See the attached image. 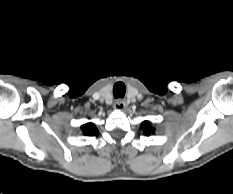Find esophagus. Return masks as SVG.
Returning a JSON list of instances; mask_svg holds the SVG:
<instances>
[{
    "mask_svg": "<svg viewBox=\"0 0 233 194\" xmlns=\"http://www.w3.org/2000/svg\"><path fill=\"white\" fill-rule=\"evenodd\" d=\"M126 107L125 101L123 99H117L115 104H114V108L116 110L122 111L124 110Z\"/></svg>",
    "mask_w": 233,
    "mask_h": 194,
    "instance_id": "34e87169",
    "label": "esophagus"
}]
</instances>
